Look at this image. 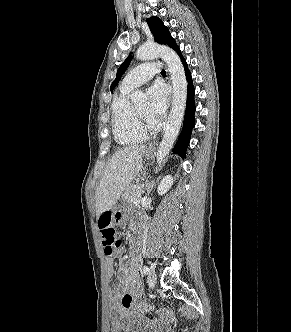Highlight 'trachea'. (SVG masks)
<instances>
[{"mask_svg": "<svg viewBox=\"0 0 291 332\" xmlns=\"http://www.w3.org/2000/svg\"><path fill=\"white\" fill-rule=\"evenodd\" d=\"M161 74L165 75V74H166V71H164V70H163V71H161Z\"/></svg>", "mask_w": 291, "mask_h": 332, "instance_id": "3493384b", "label": "trachea"}]
</instances>
